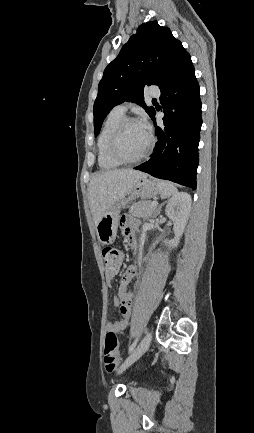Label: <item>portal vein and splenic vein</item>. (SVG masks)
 <instances>
[{"label": "portal vein and splenic vein", "instance_id": "portal-vein-and-splenic-vein-1", "mask_svg": "<svg viewBox=\"0 0 254 433\" xmlns=\"http://www.w3.org/2000/svg\"><path fill=\"white\" fill-rule=\"evenodd\" d=\"M151 205H152V206H157V205H158V202L154 201V202L151 203Z\"/></svg>", "mask_w": 254, "mask_h": 433}]
</instances>
